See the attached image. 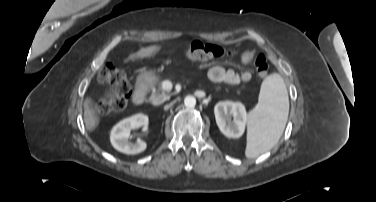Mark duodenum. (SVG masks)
Here are the masks:
<instances>
[{
	"label": "duodenum",
	"instance_id": "obj_1",
	"mask_svg": "<svg viewBox=\"0 0 376 202\" xmlns=\"http://www.w3.org/2000/svg\"><path fill=\"white\" fill-rule=\"evenodd\" d=\"M146 90H147V87H146L145 80L140 79L136 84V87L132 96V102L135 105H141L144 102L145 97H146Z\"/></svg>",
	"mask_w": 376,
	"mask_h": 202
}]
</instances>
